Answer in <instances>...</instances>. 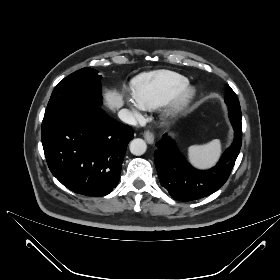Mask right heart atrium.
Wrapping results in <instances>:
<instances>
[{"mask_svg": "<svg viewBox=\"0 0 280 280\" xmlns=\"http://www.w3.org/2000/svg\"><path fill=\"white\" fill-rule=\"evenodd\" d=\"M126 103L133 112L137 120H141L143 116V107L139 104L135 96H127Z\"/></svg>", "mask_w": 280, "mask_h": 280, "instance_id": "1", "label": "right heart atrium"}]
</instances>
